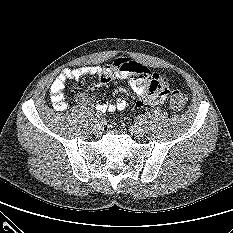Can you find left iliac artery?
<instances>
[{
  "instance_id": "1",
  "label": "left iliac artery",
  "mask_w": 233,
  "mask_h": 233,
  "mask_svg": "<svg viewBox=\"0 0 233 233\" xmlns=\"http://www.w3.org/2000/svg\"><path fill=\"white\" fill-rule=\"evenodd\" d=\"M137 120H138L139 122H142V121H143V117H142V116H138V117H137Z\"/></svg>"
}]
</instances>
